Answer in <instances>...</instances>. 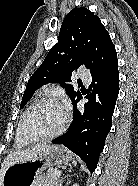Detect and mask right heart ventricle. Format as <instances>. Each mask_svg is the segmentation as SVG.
I'll return each mask as SVG.
<instances>
[{
  "label": "right heart ventricle",
  "instance_id": "e07e8e85",
  "mask_svg": "<svg viewBox=\"0 0 138 186\" xmlns=\"http://www.w3.org/2000/svg\"><path fill=\"white\" fill-rule=\"evenodd\" d=\"M42 99V93H39L34 99L33 101L30 103V105L27 107V109L32 106L34 103L40 101ZM26 109V110H27ZM25 110V111H26ZM15 143L17 147H25L27 145H29L31 142L26 141L25 139H23V137L20 134V122L18 124L17 130H16V137H15Z\"/></svg>",
  "mask_w": 138,
  "mask_h": 186
}]
</instances>
